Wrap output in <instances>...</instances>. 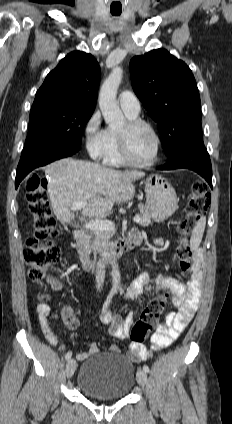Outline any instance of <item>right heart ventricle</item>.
Wrapping results in <instances>:
<instances>
[{
	"instance_id": "e07e8e85",
	"label": "right heart ventricle",
	"mask_w": 232,
	"mask_h": 424,
	"mask_svg": "<svg viewBox=\"0 0 232 424\" xmlns=\"http://www.w3.org/2000/svg\"><path fill=\"white\" fill-rule=\"evenodd\" d=\"M126 114V113H125ZM128 119H135L136 116H131L126 114ZM108 134V146L107 150L103 156V161L106 165L109 166H122L125 165L123 162L120 152H119V145L117 140V132L113 129L107 130Z\"/></svg>"
}]
</instances>
